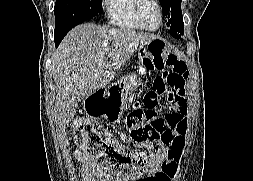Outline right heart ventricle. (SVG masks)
Instances as JSON below:
<instances>
[{
    "label": "right heart ventricle",
    "instance_id": "1",
    "mask_svg": "<svg viewBox=\"0 0 253 181\" xmlns=\"http://www.w3.org/2000/svg\"><path fill=\"white\" fill-rule=\"evenodd\" d=\"M134 4L135 0H104V7L108 22L122 30H141L142 28L137 24L134 18Z\"/></svg>",
    "mask_w": 253,
    "mask_h": 181
}]
</instances>
